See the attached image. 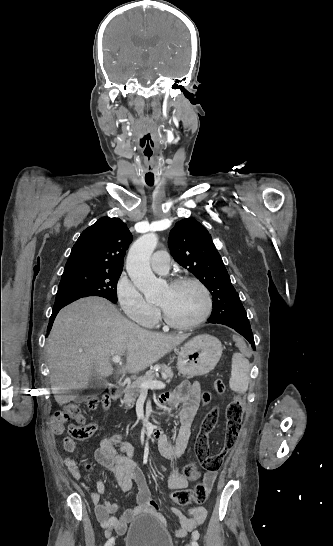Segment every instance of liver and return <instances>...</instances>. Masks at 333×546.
<instances>
[{
	"mask_svg": "<svg viewBox=\"0 0 333 546\" xmlns=\"http://www.w3.org/2000/svg\"><path fill=\"white\" fill-rule=\"evenodd\" d=\"M188 335L147 331L123 317L106 299L90 297L64 307L57 315L47 343L50 382L59 405L74 399L69 390L84 389L94 373H113L111 358L126 356L121 371L136 374L180 345Z\"/></svg>",
	"mask_w": 333,
	"mask_h": 546,
	"instance_id": "6515ba94",
	"label": "liver"
}]
</instances>
